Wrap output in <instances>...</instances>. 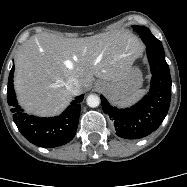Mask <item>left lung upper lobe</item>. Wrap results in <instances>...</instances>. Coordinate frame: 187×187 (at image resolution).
<instances>
[{
	"label": "left lung upper lobe",
	"mask_w": 187,
	"mask_h": 187,
	"mask_svg": "<svg viewBox=\"0 0 187 187\" xmlns=\"http://www.w3.org/2000/svg\"><path fill=\"white\" fill-rule=\"evenodd\" d=\"M133 28L140 34L146 45L150 43L152 46L156 45V47L163 48L161 42L151 34L148 28L136 25Z\"/></svg>",
	"instance_id": "obj_1"
}]
</instances>
